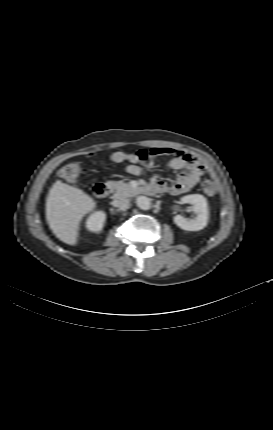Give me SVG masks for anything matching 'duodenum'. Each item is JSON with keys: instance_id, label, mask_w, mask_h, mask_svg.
Here are the masks:
<instances>
[{"instance_id": "duodenum-1", "label": "duodenum", "mask_w": 273, "mask_h": 430, "mask_svg": "<svg viewBox=\"0 0 273 430\" xmlns=\"http://www.w3.org/2000/svg\"><path fill=\"white\" fill-rule=\"evenodd\" d=\"M95 195L99 198H105L110 193V186L107 183L99 182L94 186Z\"/></svg>"}]
</instances>
